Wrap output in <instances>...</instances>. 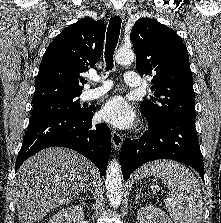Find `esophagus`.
I'll return each instance as SVG.
<instances>
[{
	"label": "esophagus",
	"mask_w": 221,
	"mask_h": 223,
	"mask_svg": "<svg viewBox=\"0 0 221 223\" xmlns=\"http://www.w3.org/2000/svg\"><path fill=\"white\" fill-rule=\"evenodd\" d=\"M114 14L116 16H119V17H124V11L121 9V10H115L114 11ZM122 143H123V136L116 132L115 130H112V144H113V147L116 149V150H119L122 146Z\"/></svg>",
	"instance_id": "obj_1"
}]
</instances>
